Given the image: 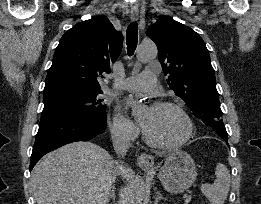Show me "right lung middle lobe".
Wrapping results in <instances>:
<instances>
[{
	"instance_id": "dd1d6c3e",
	"label": "right lung middle lobe",
	"mask_w": 261,
	"mask_h": 204,
	"mask_svg": "<svg viewBox=\"0 0 261 204\" xmlns=\"http://www.w3.org/2000/svg\"><path fill=\"white\" fill-rule=\"evenodd\" d=\"M102 90H63L44 94L41 116L59 112L87 111L106 113L103 100L98 99Z\"/></svg>"
}]
</instances>
